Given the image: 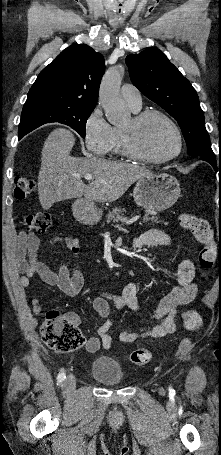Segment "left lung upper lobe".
Here are the masks:
<instances>
[{
	"label": "left lung upper lobe",
	"instance_id": "1",
	"mask_svg": "<svg viewBox=\"0 0 221 455\" xmlns=\"http://www.w3.org/2000/svg\"><path fill=\"white\" fill-rule=\"evenodd\" d=\"M133 85L161 106L179 124L190 156H215L205 128L204 113L190 82L157 48L126 57Z\"/></svg>",
	"mask_w": 221,
	"mask_h": 455
}]
</instances>
